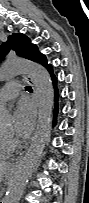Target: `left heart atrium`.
<instances>
[{"mask_svg":"<svg viewBox=\"0 0 89 203\" xmlns=\"http://www.w3.org/2000/svg\"><path fill=\"white\" fill-rule=\"evenodd\" d=\"M15 132L18 137H27L34 126L35 110L26 100H21L14 112Z\"/></svg>","mask_w":89,"mask_h":203,"instance_id":"39dd6f15","label":"left heart atrium"}]
</instances>
